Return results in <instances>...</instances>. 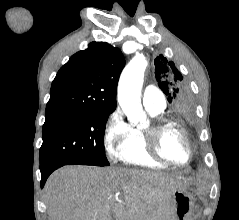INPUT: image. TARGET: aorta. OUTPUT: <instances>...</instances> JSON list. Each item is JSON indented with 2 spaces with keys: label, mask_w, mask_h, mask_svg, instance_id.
<instances>
[{
  "label": "aorta",
  "mask_w": 239,
  "mask_h": 220,
  "mask_svg": "<svg viewBox=\"0 0 239 220\" xmlns=\"http://www.w3.org/2000/svg\"><path fill=\"white\" fill-rule=\"evenodd\" d=\"M147 61L143 56L134 57L125 67L118 86V102L132 124L144 120L141 89Z\"/></svg>",
  "instance_id": "1"
}]
</instances>
